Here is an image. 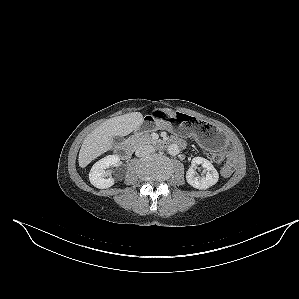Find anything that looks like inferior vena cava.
Wrapping results in <instances>:
<instances>
[{"instance_id": "1", "label": "inferior vena cava", "mask_w": 299, "mask_h": 299, "mask_svg": "<svg viewBox=\"0 0 299 299\" xmlns=\"http://www.w3.org/2000/svg\"><path fill=\"white\" fill-rule=\"evenodd\" d=\"M154 152V148L151 145H142L135 151L137 157H144Z\"/></svg>"}]
</instances>
